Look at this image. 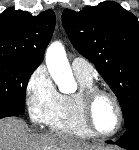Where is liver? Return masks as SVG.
Segmentation results:
<instances>
[{
  "instance_id": "1",
  "label": "liver",
  "mask_w": 139,
  "mask_h": 150,
  "mask_svg": "<svg viewBox=\"0 0 139 150\" xmlns=\"http://www.w3.org/2000/svg\"><path fill=\"white\" fill-rule=\"evenodd\" d=\"M83 140L59 134H30L17 118L0 120V150H98Z\"/></svg>"
}]
</instances>
